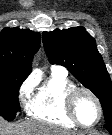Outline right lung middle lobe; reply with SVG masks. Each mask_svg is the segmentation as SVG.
I'll list each match as a JSON object with an SVG mask.
<instances>
[{"label":"right lung middle lobe","instance_id":"right-lung-middle-lobe-1","mask_svg":"<svg viewBox=\"0 0 112 135\" xmlns=\"http://www.w3.org/2000/svg\"><path fill=\"white\" fill-rule=\"evenodd\" d=\"M26 77L24 74L0 76V116L8 121H12L20 111L18 90Z\"/></svg>","mask_w":112,"mask_h":135}]
</instances>
